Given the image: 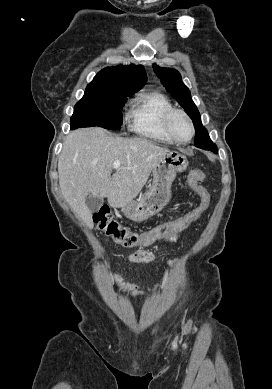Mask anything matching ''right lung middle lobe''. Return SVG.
I'll use <instances>...</instances> for the list:
<instances>
[{"instance_id": "dd1d6c3e", "label": "right lung middle lobe", "mask_w": 272, "mask_h": 389, "mask_svg": "<svg viewBox=\"0 0 272 389\" xmlns=\"http://www.w3.org/2000/svg\"><path fill=\"white\" fill-rule=\"evenodd\" d=\"M131 93L116 90L89 88L74 107L71 129L100 126L118 129L122 124V107Z\"/></svg>"}]
</instances>
